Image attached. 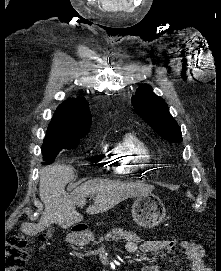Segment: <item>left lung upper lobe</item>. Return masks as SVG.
Instances as JSON below:
<instances>
[{
    "mask_svg": "<svg viewBox=\"0 0 221 271\" xmlns=\"http://www.w3.org/2000/svg\"><path fill=\"white\" fill-rule=\"evenodd\" d=\"M135 111L161 137L171 142H182L181 130L169 113L165 101L155 95L149 85H141L132 97Z\"/></svg>",
    "mask_w": 221,
    "mask_h": 271,
    "instance_id": "1",
    "label": "left lung upper lobe"
}]
</instances>
